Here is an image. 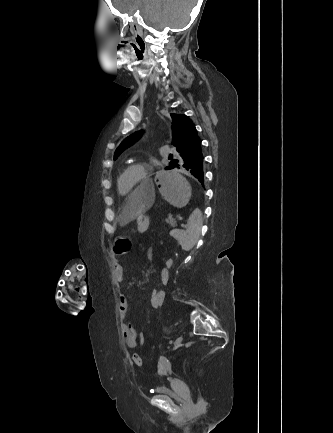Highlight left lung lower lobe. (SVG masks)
Listing matches in <instances>:
<instances>
[{
	"label": "left lung lower lobe",
	"instance_id": "0a47b994",
	"mask_svg": "<svg viewBox=\"0 0 333 433\" xmlns=\"http://www.w3.org/2000/svg\"><path fill=\"white\" fill-rule=\"evenodd\" d=\"M203 153L201 140L192 143L172 163V169L177 168L186 171L195 177L199 182H204Z\"/></svg>",
	"mask_w": 333,
	"mask_h": 433
}]
</instances>
